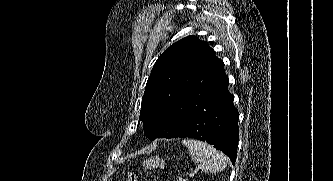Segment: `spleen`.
<instances>
[{
  "instance_id": "3e777b00",
  "label": "spleen",
  "mask_w": 333,
  "mask_h": 181,
  "mask_svg": "<svg viewBox=\"0 0 333 181\" xmlns=\"http://www.w3.org/2000/svg\"><path fill=\"white\" fill-rule=\"evenodd\" d=\"M183 145L189 150L192 160L200 164L203 172H220L226 166V157L206 142L184 139Z\"/></svg>"
}]
</instances>
